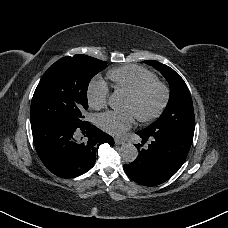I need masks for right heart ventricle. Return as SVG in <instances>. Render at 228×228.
Returning <instances> with one entry per match:
<instances>
[{"mask_svg":"<svg viewBox=\"0 0 228 228\" xmlns=\"http://www.w3.org/2000/svg\"><path fill=\"white\" fill-rule=\"evenodd\" d=\"M107 75L112 80L116 93L123 92L127 96L156 80L152 72L139 66H125L109 70Z\"/></svg>","mask_w":228,"mask_h":228,"instance_id":"e07e8e85","label":"right heart ventricle"}]
</instances>
